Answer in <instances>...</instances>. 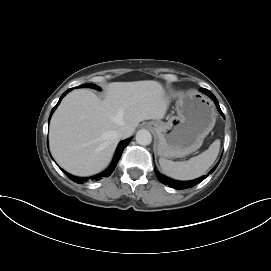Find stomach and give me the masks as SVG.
I'll use <instances>...</instances> for the list:
<instances>
[{
	"instance_id": "0dacf381",
	"label": "stomach",
	"mask_w": 271,
	"mask_h": 271,
	"mask_svg": "<svg viewBox=\"0 0 271 271\" xmlns=\"http://www.w3.org/2000/svg\"><path fill=\"white\" fill-rule=\"evenodd\" d=\"M176 116L167 122L152 121L149 126L158 138L157 154L161 158L185 157L198 150L216 122L211 100L191 90L176 101Z\"/></svg>"
}]
</instances>
